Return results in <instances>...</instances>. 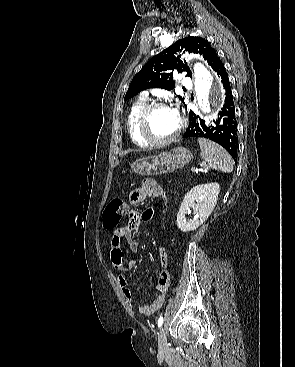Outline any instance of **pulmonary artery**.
<instances>
[{"instance_id":"1","label":"pulmonary artery","mask_w":295,"mask_h":367,"mask_svg":"<svg viewBox=\"0 0 295 367\" xmlns=\"http://www.w3.org/2000/svg\"><path fill=\"white\" fill-rule=\"evenodd\" d=\"M181 83L185 88H192V81L188 77H183ZM144 96H146V93H144Z\"/></svg>"}]
</instances>
